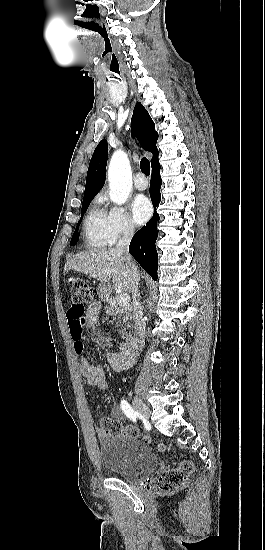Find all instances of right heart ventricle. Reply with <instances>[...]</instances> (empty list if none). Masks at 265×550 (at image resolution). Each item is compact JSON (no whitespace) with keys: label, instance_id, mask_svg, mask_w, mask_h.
<instances>
[{"label":"right heart ventricle","instance_id":"right-heart-ventricle-1","mask_svg":"<svg viewBox=\"0 0 265 550\" xmlns=\"http://www.w3.org/2000/svg\"><path fill=\"white\" fill-rule=\"evenodd\" d=\"M83 238L87 247L104 248L113 243L108 229L107 213L100 207L90 209L83 223Z\"/></svg>","mask_w":265,"mask_h":550}]
</instances>
